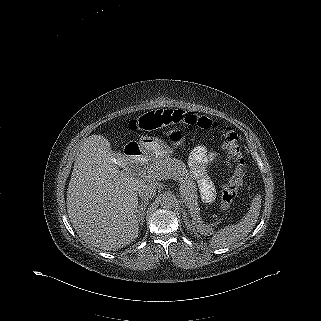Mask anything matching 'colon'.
I'll list each match as a JSON object with an SVG mask.
<instances>
[{
  "label": "colon",
  "instance_id": "obj_1",
  "mask_svg": "<svg viewBox=\"0 0 321 321\" xmlns=\"http://www.w3.org/2000/svg\"><path fill=\"white\" fill-rule=\"evenodd\" d=\"M175 124L196 125L203 129H217L224 137V146L229 156L234 160L236 168L229 183L224 187L221 195V204L224 208L230 206L242 185L244 159L236 143L237 134L230 127L218 126L208 117L182 110H158L145 114L129 123L131 130L155 131Z\"/></svg>",
  "mask_w": 321,
  "mask_h": 321
}]
</instances>
